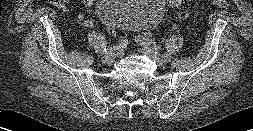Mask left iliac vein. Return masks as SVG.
<instances>
[{
    "label": "left iliac vein",
    "instance_id": "left-iliac-vein-1",
    "mask_svg": "<svg viewBox=\"0 0 253 131\" xmlns=\"http://www.w3.org/2000/svg\"><path fill=\"white\" fill-rule=\"evenodd\" d=\"M136 42L140 45V52L149 56L150 58L156 59L158 61H170L171 56L168 54L161 55L158 50H156L154 47H151L147 44H145L143 41L139 39V37L136 39Z\"/></svg>",
    "mask_w": 253,
    "mask_h": 131
}]
</instances>
